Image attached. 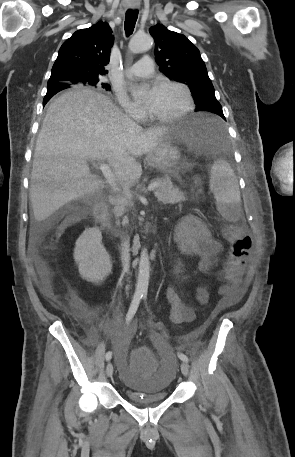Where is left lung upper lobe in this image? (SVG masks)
I'll use <instances>...</instances> for the list:
<instances>
[{"label":"left lung upper lobe","instance_id":"5c2ea615","mask_svg":"<svg viewBox=\"0 0 295 457\" xmlns=\"http://www.w3.org/2000/svg\"><path fill=\"white\" fill-rule=\"evenodd\" d=\"M155 41L156 60L160 71L170 80L186 84L192 93L198 111L222 107L214 94L198 48L184 35L157 24L149 29Z\"/></svg>","mask_w":295,"mask_h":457}]
</instances>
